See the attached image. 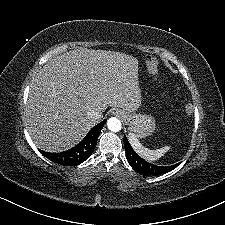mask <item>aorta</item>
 I'll return each mask as SVG.
<instances>
[{
	"label": "aorta",
	"instance_id": "1",
	"mask_svg": "<svg viewBox=\"0 0 225 225\" xmlns=\"http://www.w3.org/2000/svg\"><path fill=\"white\" fill-rule=\"evenodd\" d=\"M107 127L112 132H118L122 128V124L119 119L111 117L107 120Z\"/></svg>",
	"mask_w": 225,
	"mask_h": 225
}]
</instances>
